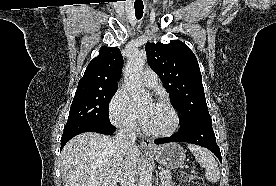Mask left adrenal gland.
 <instances>
[{
  "instance_id": "a2214340",
  "label": "left adrenal gland",
  "mask_w": 276,
  "mask_h": 186,
  "mask_svg": "<svg viewBox=\"0 0 276 186\" xmlns=\"http://www.w3.org/2000/svg\"><path fill=\"white\" fill-rule=\"evenodd\" d=\"M156 185H157V186H161V185L159 184L158 178L156 179Z\"/></svg>"
}]
</instances>
